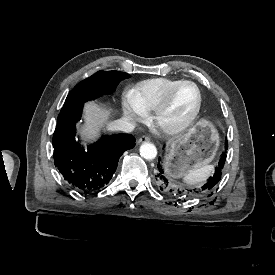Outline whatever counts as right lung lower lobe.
Listing matches in <instances>:
<instances>
[{
    "mask_svg": "<svg viewBox=\"0 0 275 275\" xmlns=\"http://www.w3.org/2000/svg\"><path fill=\"white\" fill-rule=\"evenodd\" d=\"M84 104L63 107L53 134L55 165L76 190L94 192L111 180L119 158L135 146L131 134L102 136L85 150L75 140V125L81 119Z\"/></svg>",
    "mask_w": 275,
    "mask_h": 275,
    "instance_id": "1",
    "label": "right lung lower lobe"
}]
</instances>
